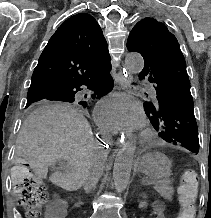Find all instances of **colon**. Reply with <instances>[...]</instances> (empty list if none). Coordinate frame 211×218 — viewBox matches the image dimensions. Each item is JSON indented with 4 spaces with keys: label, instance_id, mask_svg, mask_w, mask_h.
<instances>
[{
    "label": "colon",
    "instance_id": "colon-1",
    "mask_svg": "<svg viewBox=\"0 0 211 218\" xmlns=\"http://www.w3.org/2000/svg\"><path fill=\"white\" fill-rule=\"evenodd\" d=\"M12 182L18 203L29 218H36L47 201L48 192L42 181L33 173L26 158H20L12 170ZM198 195V174L186 170L182 174L179 188L181 206L177 218H195V202Z\"/></svg>",
    "mask_w": 211,
    "mask_h": 218
}]
</instances>
